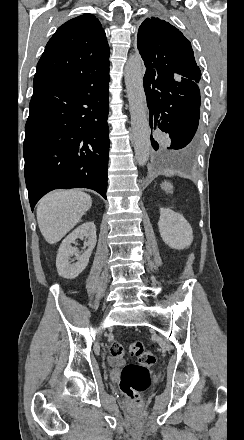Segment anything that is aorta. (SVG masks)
<instances>
[{"instance_id": "1", "label": "aorta", "mask_w": 244, "mask_h": 440, "mask_svg": "<svg viewBox=\"0 0 244 440\" xmlns=\"http://www.w3.org/2000/svg\"><path fill=\"white\" fill-rule=\"evenodd\" d=\"M124 76L131 114L136 162L140 166H144L149 159L151 142L143 88L142 59L140 56L131 55L129 57L125 65Z\"/></svg>"}]
</instances>
